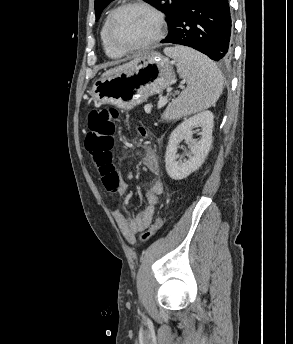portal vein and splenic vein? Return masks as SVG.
I'll list each match as a JSON object with an SVG mask.
<instances>
[{
	"label": "portal vein and splenic vein",
	"instance_id": "obj_1",
	"mask_svg": "<svg viewBox=\"0 0 293 344\" xmlns=\"http://www.w3.org/2000/svg\"><path fill=\"white\" fill-rule=\"evenodd\" d=\"M166 103H167V97L166 96L160 97V100L158 102V108L163 107Z\"/></svg>",
	"mask_w": 293,
	"mask_h": 344
}]
</instances>
